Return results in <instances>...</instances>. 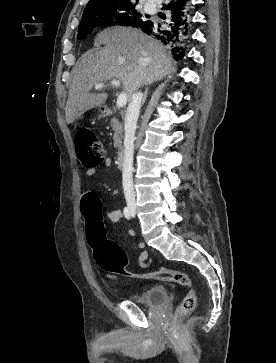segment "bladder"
Listing matches in <instances>:
<instances>
[{
    "label": "bladder",
    "instance_id": "31cf9c89",
    "mask_svg": "<svg viewBox=\"0 0 276 363\" xmlns=\"http://www.w3.org/2000/svg\"><path fill=\"white\" fill-rule=\"evenodd\" d=\"M167 290L163 285H154L150 288L136 293L132 301L139 305L155 307L166 301Z\"/></svg>",
    "mask_w": 276,
    "mask_h": 363
}]
</instances>
